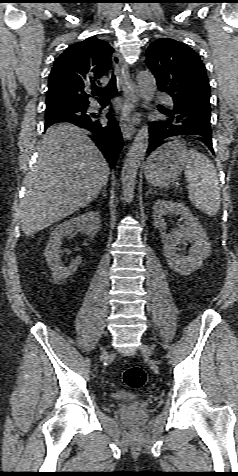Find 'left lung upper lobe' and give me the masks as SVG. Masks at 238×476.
Here are the masks:
<instances>
[{
	"label": "left lung upper lobe",
	"mask_w": 238,
	"mask_h": 476,
	"mask_svg": "<svg viewBox=\"0 0 238 476\" xmlns=\"http://www.w3.org/2000/svg\"><path fill=\"white\" fill-rule=\"evenodd\" d=\"M145 62L156 78L158 89L173 98L174 107L211 112L206 68L190 47L160 38L148 47Z\"/></svg>",
	"instance_id": "5c2ea615"
}]
</instances>
